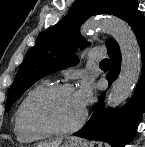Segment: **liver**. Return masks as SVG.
<instances>
[{"label": "liver", "instance_id": "liver-1", "mask_svg": "<svg viewBox=\"0 0 145 147\" xmlns=\"http://www.w3.org/2000/svg\"><path fill=\"white\" fill-rule=\"evenodd\" d=\"M61 140L53 141V142H44L37 145V147H59Z\"/></svg>", "mask_w": 145, "mask_h": 147}]
</instances>
